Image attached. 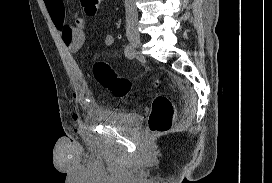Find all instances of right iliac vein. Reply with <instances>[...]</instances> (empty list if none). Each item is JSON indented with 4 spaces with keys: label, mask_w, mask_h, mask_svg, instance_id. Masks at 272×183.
<instances>
[{
    "label": "right iliac vein",
    "mask_w": 272,
    "mask_h": 183,
    "mask_svg": "<svg viewBox=\"0 0 272 183\" xmlns=\"http://www.w3.org/2000/svg\"><path fill=\"white\" fill-rule=\"evenodd\" d=\"M128 40L130 44L135 47L139 48L141 46V38L137 31L131 30L127 34Z\"/></svg>",
    "instance_id": "right-iliac-vein-1"
}]
</instances>
